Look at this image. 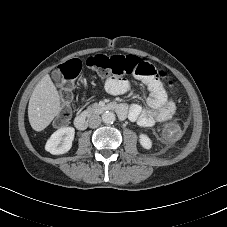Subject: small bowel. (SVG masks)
<instances>
[{
    "instance_id": "1",
    "label": "small bowel",
    "mask_w": 227,
    "mask_h": 227,
    "mask_svg": "<svg viewBox=\"0 0 227 227\" xmlns=\"http://www.w3.org/2000/svg\"><path fill=\"white\" fill-rule=\"evenodd\" d=\"M139 77L148 90V109L131 104L128 109L129 119L146 128L154 126L157 122L170 120L175 114L176 106L173 101L167 99L161 81L158 78ZM105 89L113 96H121L130 91L131 84L126 79L113 78L106 82Z\"/></svg>"
}]
</instances>
